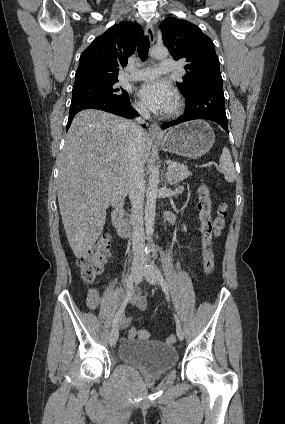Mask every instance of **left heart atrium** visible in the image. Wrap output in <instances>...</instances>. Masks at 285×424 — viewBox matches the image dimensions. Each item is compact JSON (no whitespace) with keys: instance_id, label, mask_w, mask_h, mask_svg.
Here are the masks:
<instances>
[{"instance_id":"left-heart-atrium-1","label":"left heart atrium","mask_w":285,"mask_h":424,"mask_svg":"<svg viewBox=\"0 0 285 424\" xmlns=\"http://www.w3.org/2000/svg\"><path fill=\"white\" fill-rule=\"evenodd\" d=\"M144 105L156 113L169 112L175 102V91L166 82L154 80L144 83L139 89Z\"/></svg>"}]
</instances>
